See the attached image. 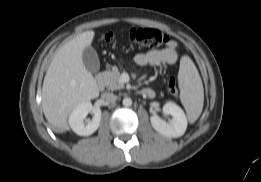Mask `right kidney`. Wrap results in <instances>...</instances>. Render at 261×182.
Here are the masks:
<instances>
[{
  "label": "right kidney",
  "instance_id": "1",
  "mask_svg": "<svg viewBox=\"0 0 261 182\" xmlns=\"http://www.w3.org/2000/svg\"><path fill=\"white\" fill-rule=\"evenodd\" d=\"M93 113L92 120L85 121L88 113ZM101 121V109L93 107L91 102L86 101L76 106L69 115L71 129L80 136H89L99 127Z\"/></svg>",
  "mask_w": 261,
  "mask_h": 182
}]
</instances>
